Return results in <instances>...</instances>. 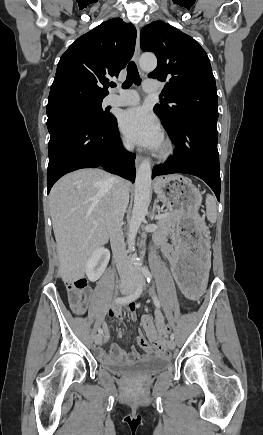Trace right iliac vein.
<instances>
[{"label":"right iliac vein","instance_id":"1","mask_svg":"<svg viewBox=\"0 0 263 435\" xmlns=\"http://www.w3.org/2000/svg\"><path fill=\"white\" fill-rule=\"evenodd\" d=\"M131 291H132V288H130V287H126V288H123V289H122V293H123V294H128V293H130ZM94 341H95L96 344H100V343L102 342V335H101V334H97V335L94 337Z\"/></svg>","mask_w":263,"mask_h":435}]
</instances>
